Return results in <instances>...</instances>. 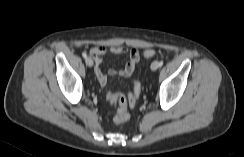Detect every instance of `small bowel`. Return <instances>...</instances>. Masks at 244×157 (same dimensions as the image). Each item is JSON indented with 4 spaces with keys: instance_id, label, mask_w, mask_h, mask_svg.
Listing matches in <instances>:
<instances>
[{
    "instance_id": "1",
    "label": "small bowel",
    "mask_w": 244,
    "mask_h": 157,
    "mask_svg": "<svg viewBox=\"0 0 244 157\" xmlns=\"http://www.w3.org/2000/svg\"><path fill=\"white\" fill-rule=\"evenodd\" d=\"M109 53L113 55L128 53L129 60L122 69L116 70L111 68L105 73L102 70L101 65H102L103 57ZM89 54L94 60L95 75L101 86L106 85L108 76H115V75H119L121 77L131 76L132 73L134 72L137 63L139 62V51L134 48L128 49L127 47L122 45H116L110 48H106L105 46H95L89 50Z\"/></svg>"
}]
</instances>
